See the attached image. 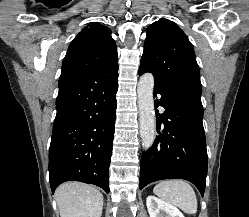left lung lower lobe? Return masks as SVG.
<instances>
[{
	"mask_svg": "<svg viewBox=\"0 0 249 217\" xmlns=\"http://www.w3.org/2000/svg\"><path fill=\"white\" fill-rule=\"evenodd\" d=\"M143 72L139 71V75ZM157 94L161 99H157ZM157 133L141 157L140 185L164 179H185L204 194L208 157L203 128L201 95L180 88L154 85Z\"/></svg>",
	"mask_w": 249,
	"mask_h": 217,
	"instance_id": "obj_1",
	"label": "left lung lower lobe"
}]
</instances>
